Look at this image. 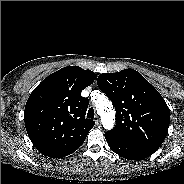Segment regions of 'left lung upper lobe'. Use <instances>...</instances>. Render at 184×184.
Here are the masks:
<instances>
[{
    "label": "left lung upper lobe",
    "mask_w": 184,
    "mask_h": 184,
    "mask_svg": "<svg viewBox=\"0 0 184 184\" xmlns=\"http://www.w3.org/2000/svg\"><path fill=\"white\" fill-rule=\"evenodd\" d=\"M97 84L116 110V126L109 133L154 153L170 123V111L160 93L134 69L100 74Z\"/></svg>",
    "instance_id": "5c2ea615"
}]
</instances>
